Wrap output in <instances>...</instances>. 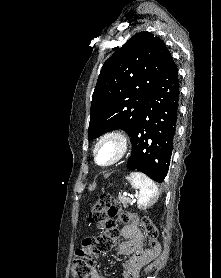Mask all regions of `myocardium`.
Here are the masks:
<instances>
[{"label": "myocardium", "instance_id": "myocardium-1", "mask_svg": "<svg viewBox=\"0 0 221 278\" xmlns=\"http://www.w3.org/2000/svg\"><path fill=\"white\" fill-rule=\"evenodd\" d=\"M106 140H114L117 143L118 154L112 162H110L108 164H101L97 159L96 152H97L98 146ZM128 149H129V141L124 133H122L120 131H109V132H106L103 135H101L95 142V144L93 146V159H94L95 163L101 167H104V168L112 167V166H115L116 164H118L119 162H121L125 158V156L127 155Z\"/></svg>", "mask_w": 221, "mask_h": 278}]
</instances>
